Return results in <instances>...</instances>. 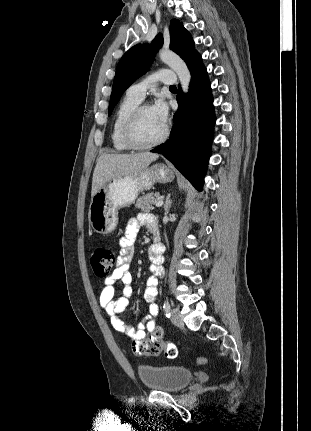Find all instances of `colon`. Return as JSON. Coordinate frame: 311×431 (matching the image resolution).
Instances as JSON below:
<instances>
[{
	"instance_id": "obj_1",
	"label": "colon",
	"mask_w": 311,
	"mask_h": 431,
	"mask_svg": "<svg viewBox=\"0 0 311 431\" xmlns=\"http://www.w3.org/2000/svg\"><path fill=\"white\" fill-rule=\"evenodd\" d=\"M90 263L94 273L98 277H106L115 264V254L108 247H96L91 252ZM132 349L139 355L156 357L164 352L168 357L174 358L177 356V348L175 345L170 343L164 344L157 340L134 342ZM206 362L207 359L205 357H198L196 359V363L199 365H204Z\"/></svg>"
}]
</instances>
